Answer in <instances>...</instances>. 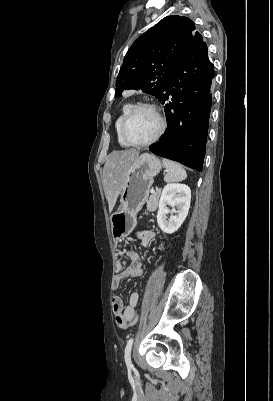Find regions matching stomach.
I'll list each match as a JSON object with an SVG mask.
<instances>
[{"mask_svg":"<svg viewBox=\"0 0 273 401\" xmlns=\"http://www.w3.org/2000/svg\"><path fill=\"white\" fill-rule=\"evenodd\" d=\"M162 164L154 154L143 152L126 170V182L120 192V207L110 217L114 241L126 239L137 225V213L149 198L153 176L160 172Z\"/></svg>","mask_w":273,"mask_h":401,"instance_id":"0dacf381","label":"stomach"}]
</instances>
